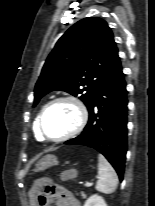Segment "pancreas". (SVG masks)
Masks as SVG:
<instances>
[{
	"label": "pancreas",
	"instance_id": "obj_1",
	"mask_svg": "<svg viewBox=\"0 0 155 206\" xmlns=\"http://www.w3.org/2000/svg\"><path fill=\"white\" fill-rule=\"evenodd\" d=\"M81 196H82V198H85V197H86V195H85L84 192H81Z\"/></svg>",
	"mask_w": 155,
	"mask_h": 206
}]
</instances>
